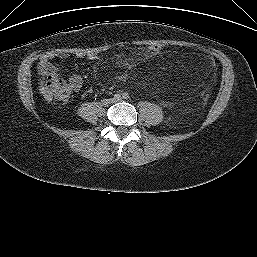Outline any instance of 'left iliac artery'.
<instances>
[{
    "mask_svg": "<svg viewBox=\"0 0 257 257\" xmlns=\"http://www.w3.org/2000/svg\"><path fill=\"white\" fill-rule=\"evenodd\" d=\"M124 99H128L129 98V94L128 93H123V96H122Z\"/></svg>",
    "mask_w": 257,
    "mask_h": 257,
    "instance_id": "obj_1",
    "label": "left iliac artery"
}]
</instances>
